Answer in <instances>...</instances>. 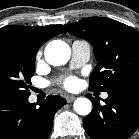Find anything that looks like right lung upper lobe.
<instances>
[{"instance_id": "right-lung-upper-lobe-1", "label": "right lung upper lobe", "mask_w": 139, "mask_h": 139, "mask_svg": "<svg viewBox=\"0 0 139 139\" xmlns=\"http://www.w3.org/2000/svg\"><path fill=\"white\" fill-rule=\"evenodd\" d=\"M64 33L66 32L56 25L43 27L8 25L0 28V41L17 42L38 51L39 47L50 38Z\"/></svg>"}]
</instances>
